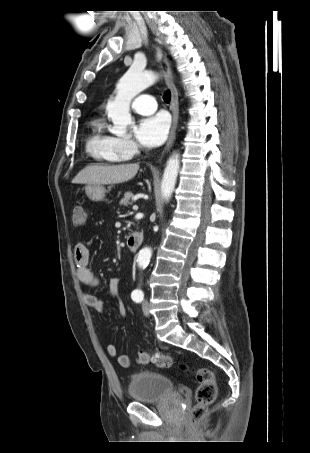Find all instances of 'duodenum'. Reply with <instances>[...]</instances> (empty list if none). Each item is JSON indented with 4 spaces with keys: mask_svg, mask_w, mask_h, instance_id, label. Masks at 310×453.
<instances>
[{
    "mask_svg": "<svg viewBox=\"0 0 310 453\" xmlns=\"http://www.w3.org/2000/svg\"><path fill=\"white\" fill-rule=\"evenodd\" d=\"M143 242V235L140 232H133L127 238V246L130 251H136Z\"/></svg>",
    "mask_w": 310,
    "mask_h": 453,
    "instance_id": "duodenum-1",
    "label": "duodenum"
}]
</instances>
